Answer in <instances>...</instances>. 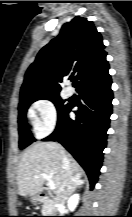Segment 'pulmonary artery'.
I'll return each mask as SVG.
<instances>
[{
    "mask_svg": "<svg viewBox=\"0 0 132 217\" xmlns=\"http://www.w3.org/2000/svg\"><path fill=\"white\" fill-rule=\"evenodd\" d=\"M66 93H67L68 96H71V95L73 94V89H72L71 86H68V87L66 88Z\"/></svg>",
    "mask_w": 132,
    "mask_h": 217,
    "instance_id": "e3ab8cb5",
    "label": "pulmonary artery"
}]
</instances>
